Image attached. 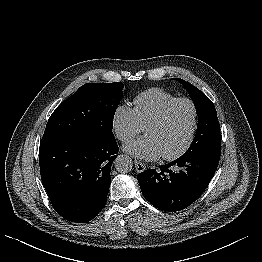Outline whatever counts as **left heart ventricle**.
<instances>
[{
  "mask_svg": "<svg viewBox=\"0 0 262 262\" xmlns=\"http://www.w3.org/2000/svg\"><path fill=\"white\" fill-rule=\"evenodd\" d=\"M192 120V107L186 102H181L171 109L161 125L146 128L145 135L155 139L162 155H170L178 151L187 141Z\"/></svg>",
  "mask_w": 262,
  "mask_h": 262,
  "instance_id": "b2bd125f",
  "label": "left heart ventricle"
}]
</instances>
